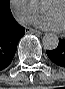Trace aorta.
Here are the masks:
<instances>
[{
    "mask_svg": "<svg viewBox=\"0 0 65 89\" xmlns=\"http://www.w3.org/2000/svg\"><path fill=\"white\" fill-rule=\"evenodd\" d=\"M42 43L45 50H54L58 47L59 39L54 33H46L43 36Z\"/></svg>",
    "mask_w": 65,
    "mask_h": 89,
    "instance_id": "762f6f07",
    "label": "aorta"
}]
</instances>
